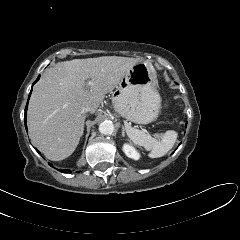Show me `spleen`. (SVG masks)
Masks as SVG:
<instances>
[{"mask_svg":"<svg viewBox=\"0 0 240 240\" xmlns=\"http://www.w3.org/2000/svg\"><path fill=\"white\" fill-rule=\"evenodd\" d=\"M126 133L134 144L143 146L146 150L150 151L151 158L162 157L174 146L177 139L176 131H167L161 136V141L152 137L145 131L132 127L130 124H125Z\"/></svg>","mask_w":240,"mask_h":240,"instance_id":"3e777b00","label":"spleen"}]
</instances>
